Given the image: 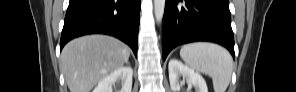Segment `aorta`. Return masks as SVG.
<instances>
[{"instance_id":"aorta-1","label":"aorta","mask_w":296,"mask_h":92,"mask_svg":"<svg viewBox=\"0 0 296 92\" xmlns=\"http://www.w3.org/2000/svg\"><path fill=\"white\" fill-rule=\"evenodd\" d=\"M165 10V0H154V14L157 23H161Z\"/></svg>"}]
</instances>
